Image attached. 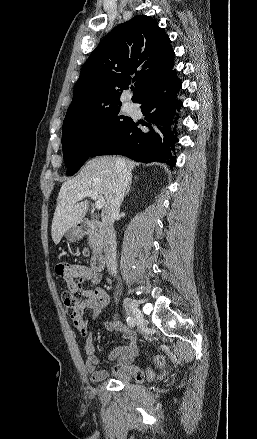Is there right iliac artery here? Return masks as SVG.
<instances>
[{
	"instance_id": "82829eb1",
	"label": "right iliac artery",
	"mask_w": 257,
	"mask_h": 439,
	"mask_svg": "<svg viewBox=\"0 0 257 439\" xmlns=\"http://www.w3.org/2000/svg\"><path fill=\"white\" fill-rule=\"evenodd\" d=\"M126 322L130 327H134L135 326V319L133 317L128 316L126 318Z\"/></svg>"
}]
</instances>
